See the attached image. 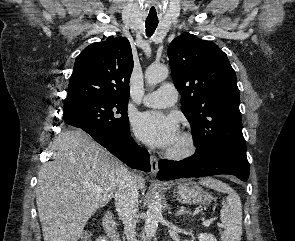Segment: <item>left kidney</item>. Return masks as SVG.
I'll return each instance as SVG.
<instances>
[{
	"label": "left kidney",
	"instance_id": "5707ae66",
	"mask_svg": "<svg viewBox=\"0 0 295 241\" xmlns=\"http://www.w3.org/2000/svg\"><path fill=\"white\" fill-rule=\"evenodd\" d=\"M199 241H217L212 234L201 233L198 236Z\"/></svg>",
	"mask_w": 295,
	"mask_h": 241
}]
</instances>
